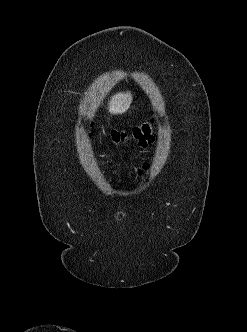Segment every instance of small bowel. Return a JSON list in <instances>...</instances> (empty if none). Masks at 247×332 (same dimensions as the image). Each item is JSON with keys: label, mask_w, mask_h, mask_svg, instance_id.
Returning <instances> with one entry per match:
<instances>
[{"label": "small bowel", "mask_w": 247, "mask_h": 332, "mask_svg": "<svg viewBox=\"0 0 247 332\" xmlns=\"http://www.w3.org/2000/svg\"><path fill=\"white\" fill-rule=\"evenodd\" d=\"M148 169V165H143V167L142 168H140V169H138L137 171H136V175H138V176H141L142 174H143V171H145V170H147Z\"/></svg>", "instance_id": "obj_1"}]
</instances>
